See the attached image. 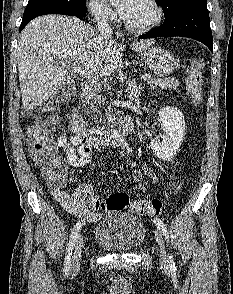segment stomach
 I'll use <instances>...</instances> for the list:
<instances>
[{"label": "stomach", "mask_w": 233, "mask_h": 294, "mask_svg": "<svg viewBox=\"0 0 233 294\" xmlns=\"http://www.w3.org/2000/svg\"><path fill=\"white\" fill-rule=\"evenodd\" d=\"M141 56L153 73L159 77L167 76L176 66L173 56L160 47L147 48L141 52Z\"/></svg>", "instance_id": "stomach-1"}]
</instances>
